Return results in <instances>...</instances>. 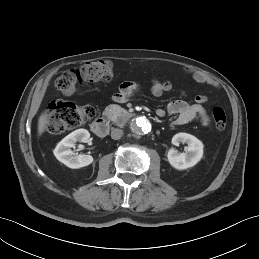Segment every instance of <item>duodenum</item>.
<instances>
[{
  "label": "duodenum",
  "instance_id": "410a0bca",
  "mask_svg": "<svg viewBox=\"0 0 259 259\" xmlns=\"http://www.w3.org/2000/svg\"><path fill=\"white\" fill-rule=\"evenodd\" d=\"M125 117H132V113L129 111H121ZM92 131L100 137L106 136L109 131V123L105 118H97L91 124Z\"/></svg>",
  "mask_w": 259,
  "mask_h": 259
}]
</instances>
